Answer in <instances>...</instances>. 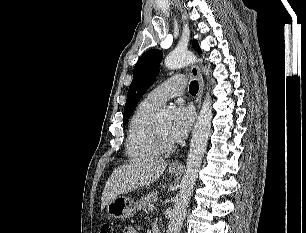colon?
Returning <instances> with one entry per match:
<instances>
[{"label": "colon", "mask_w": 306, "mask_h": 233, "mask_svg": "<svg viewBox=\"0 0 306 233\" xmlns=\"http://www.w3.org/2000/svg\"><path fill=\"white\" fill-rule=\"evenodd\" d=\"M100 233H115L113 225L105 223L100 228Z\"/></svg>", "instance_id": "colon-1"}]
</instances>
